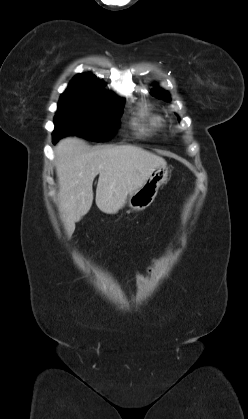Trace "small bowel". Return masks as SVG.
<instances>
[{"label": "small bowel", "mask_w": 248, "mask_h": 419, "mask_svg": "<svg viewBox=\"0 0 248 419\" xmlns=\"http://www.w3.org/2000/svg\"><path fill=\"white\" fill-rule=\"evenodd\" d=\"M137 277L140 281L142 280V275L140 273L137 274Z\"/></svg>", "instance_id": "small-bowel-1"}]
</instances>
